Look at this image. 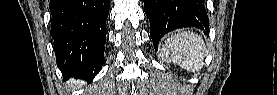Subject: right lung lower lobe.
Returning <instances> with one entry per match:
<instances>
[{
  "label": "right lung lower lobe",
  "instance_id": "1",
  "mask_svg": "<svg viewBox=\"0 0 277 95\" xmlns=\"http://www.w3.org/2000/svg\"><path fill=\"white\" fill-rule=\"evenodd\" d=\"M109 0H51V35L65 79L91 80L103 65Z\"/></svg>",
  "mask_w": 277,
  "mask_h": 95
}]
</instances>
